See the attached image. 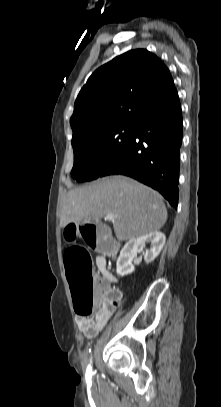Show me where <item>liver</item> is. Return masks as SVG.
<instances>
[{"instance_id":"6515ba94","label":"liver","mask_w":221,"mask_h":407,"mask_svg":"<svg viewBox=\"0 0 221 407\" xmlns=\"http://www.w3.org/2000/svg\"><path fill=\"white\" fill-rule=\"evenodd\" d=\"M107 214L114 215L112 222L119 240L156 232L167 220V209L157 192L131 178L116 175L70 190L60 224L62 227L78 221L98 224Z\"/></svg>"}]
</instances>
